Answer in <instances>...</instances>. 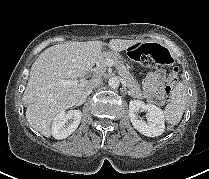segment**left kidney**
Wrapping results in <instances>:
<instances>
[{
  "label": "left kidney",
  "instance_id": "obj_1",
  "mask_svg": "<svg viewBox=\"0 0 209 179\" xmlns=\"http://www.w3.org/2000/svg\"><path fill=\"white\" fill-rule=\"evenodd\" d=\"M140 109L148 112V123L138 116ZM129 117L134 128L145 136L156 137L164 132L163 111L153 104H145L140 100H131L129 103Z\"/></svg>",
  "mask_w": 209,
  "mask_h": 179
}]
</instances>
